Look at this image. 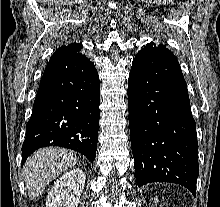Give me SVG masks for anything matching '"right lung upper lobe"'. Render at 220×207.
<instances>
[{"label":"right lung upper lobe","instance_id":"cb5924a9","mask_svg":"<svg viewBox=\"0 0 220 207\" xmlns=\"http://www.w3.org/2000/svg\"><path fill=\"white\" fill-rule=\"evenodd\" d=\"M81 48L82 44L79 43H71L67 46H61L53 53L51 58L63 57L66 55L74 54L79 52Z\"/></svg>","mask_w":220,"mask_h":207}]
</instances>
